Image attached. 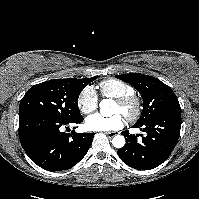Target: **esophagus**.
<instances>
[{"mask_svg": "<svg viewBox=\"0 0 199 199\" xmlns=\"http://www.w3.org/2000/svg\"><path fill=\"white\" fill-rule=\"evenodd\" d=\"M109 138L114 137L115 135H117V132H106L105 133Z\"/></svg>", "mask_w": 199, "mask_h": 199, "instance_id": "34e87169", "label": "esophagus"}]
</instances>
